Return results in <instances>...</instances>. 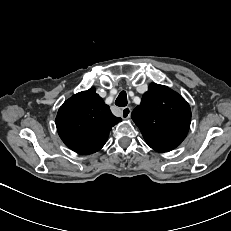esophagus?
I'll return each mask as SVG.
<instances>
[{"instance_id":"34e87169","label":"esophagus","mask_w":231,"mask_h":231,"mask_svg":"<svg viewBox=\"0 0 231 231\" xmlns=\"http://www.w3.org/2000/svg\"><path fill=\"white\" fill-rule=\"evenodd\" d=\"M131 115V108L129 106H126L121 111V117L123 119H128Z\"/></svg>"}]
</instances>
